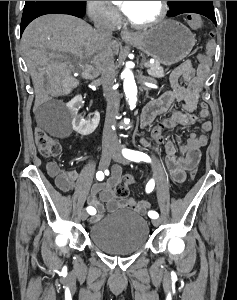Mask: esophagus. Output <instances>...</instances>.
I'll return each mask as SVG.
<instances>
[{"label":"esophagus","mask_w":237,"mask_h":300,"mask_svg":"<svg viewBox=\"0 0 237 300\" xmlns=\"http://www.w3.org/2000/svg\"><path fill=\"white\" fill-rule=\"evenodd\" d=\"M121 38L127 41L135 40L138 35L136 33H132L131 31H121Z\"/></svg>","instance_id":"obj_1"}]
</instances>
